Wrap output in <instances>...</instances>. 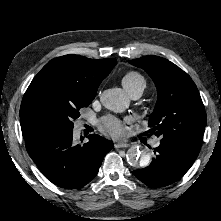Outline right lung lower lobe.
<instances>
[{"mask_svg":"<svg viewBox=\"0 0 221 221\" xmlns=\"http://www.w3.org/2000/svg\"><path fill=\"white\" fill-rule=\"evenodd\" d=\"M88 138L84 145H75L73 130L55 129L33 134L25 143L29 156L49 181L61 188L78 189L97 175L113 148V142L97 134Z\"/></svg>","mask_w":221,"mask_h":221,"instance_id":"right-lung-lower-lobe-1","label":"right lung lower lobe"}]
</instances>
